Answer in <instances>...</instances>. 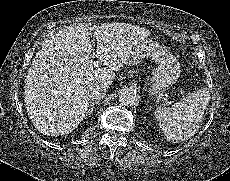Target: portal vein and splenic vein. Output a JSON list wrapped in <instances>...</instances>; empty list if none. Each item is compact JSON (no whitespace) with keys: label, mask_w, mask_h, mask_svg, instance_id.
I'll return each mask as SVG.
<instances>
[{"label":"portal vein and splenic vein","mask_w":230,"mask_h":181,"mask_svg":"<svg viewBox=\"0 0 230 181\" xmlns=\"http://www.w3.org/2000/svg\"><path fill=\"white\" fill-rule=\"evenodd\" d=\"M93 63V66L94 67H97V66H99V61H94V62H92ZM169 105L171 104V102H167Z\"/></svg>","instance_id":"obj_1"}]
</instances>
